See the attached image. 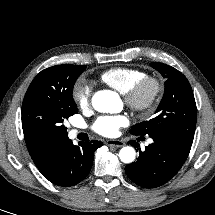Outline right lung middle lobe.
Wrapping results in <instances>:
<instances>
[{"label":"right lung middle lobe","mask_w":215,"mask_h":215,"mask_svg":"<svg viewBox=\"0 0 215 215\" xmlns=\"http://www.w3.org/2000/svg\"><path fill=\"white\" fill-rule=\"evenodd\" d=\"M86 65H56L31 82L22 104L23 131L39 141L67 139L64 121L78 112L72 91Z\"/></svg>","instance_id":"1"}]
</instances>
